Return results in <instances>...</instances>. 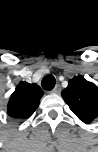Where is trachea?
Wrapping results in <instances>:
<instances>
[{
	"instance_id": "1",
	"label": "trachea",
	"mask_w": 98,
	"mask_h": 152,
	"mask_svg": "<svg viewBox=\"0 0 98 152\" xmlns=\"http://www.w3.org/2000/svg\"><path fill=\"white\" fill-rule=\"evenodd\" d=\"M55 78L53 75H46L41 82L42 88L45 90H52L55 86Z\"/></svg>"
}]
</instances>
